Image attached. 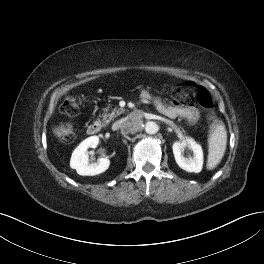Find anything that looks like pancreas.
Segmentation results:
<instances>
[{
  "mask_svg": "<svg viewBox=\"0 0 264 264\" xmlns=\"http://www.w3.org/2000/svg\"><path fill=\"white\" fill-rule=\"evenodd\" d=\"M108 110V108H105L104 113L102 114L103 126H106L111 120L125 112L123 108L117 107H115L112 112H108Z\"/></svg>",
  "mask_w": 264,
  "mask_h": 264,
  "instance_id": "pancreas-1",
  "label": "pancreas"
}]
</instances>
